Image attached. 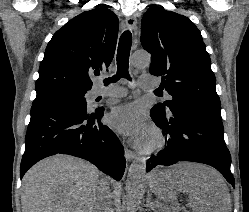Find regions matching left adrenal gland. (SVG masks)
<instances>
[{"instance_id": "left-adrenal-gland-1", "label": "left adrenal gland", "mask_w": 249, "mask_h": 212, "mask_svg": "<svg viewBox=\"0 0 249 212\" xmlns=\"http://www.w3.org/2000/svg\"><path fill=\"white\" fill-rule=\"evenodd\" d=\"M154 204H155V202H152L151 194H148V198H147V202H146V208H148V210H152V212H154V210H155Z\"/></svg>"}]
</instances>
